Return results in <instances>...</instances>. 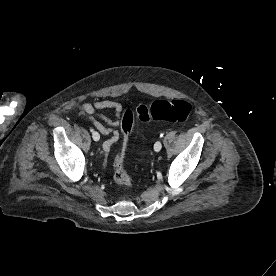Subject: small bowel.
Masks as SVG:
<instances>
[{"mask_svg":"<svg viewBox=\"0 0 276 276\" xmlns=\"http://www.w3.org/2000/svg\"><path fill=\"white\" fill-rule=\"evenodd\" d=\"M79 109L81 114L87 117L101 134L109 136V138L103 143V149L108 153L112 146L122 137L117 130V127L121 124L123 127L122 104L114 100L105 99L94 103H83L80 105ZM105 110H112L114 112V118L104 114L102 111Z\"/></svg>","mask_w":276,"mask_h":276,"instance_id":"small-bowel-1","label":"small bowel"}]
</instances>
